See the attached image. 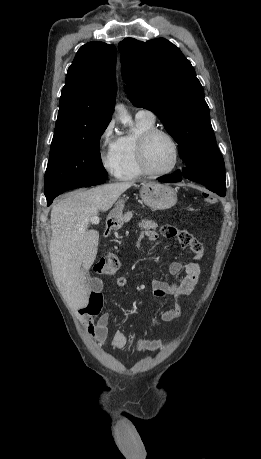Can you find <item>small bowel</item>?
I'll return each instance as SVG.
<instances>
[{"mask_svg": "<svg viewBox=\"0 0 261 459\" xmlns=\"http://www.w3.org/2000/svg\"><path fill=\"white\" fill-rule=\"evenodd\" d=\"M172 229L173 234L167 238L174 239L180 246L189 248L193 252V258L186 264L174 261L168 266L167 273L173 276L179 275L182 271H184L183 276L178 281L169 284L158 278H153L151 280L152 294L156 298L175 296L179 299L190 295L194 290L200 275V269L197 261L203 255L202 243L186 231L175 228ZM146 234L151 241H155L158 238V234L154 231H147ZM126 284V277L120 276L116 279L117 287H124ZM93 288L95 293H101L103 289L102 281L94 279ZM181 312V306L179 302L176 301L172 308L161 310L159 312V317L163 321L170 322L178 319L181 316ZM109 319V314L103 313L96 321H94L91 317H87L84 320V327L87 333L91 335L100 345L104 344L107 338ZM128 342L129 338L127 335L118 330L113 334L111 347L113 349H121L125 347ZM133 345L139 350L155 352L163 348L164 341L135 336L133 338Z\"/></svg>", "mask_w": 261, "mask_h": 459, "instance_id": "1", "label": "small bowel"}]
</instances>
